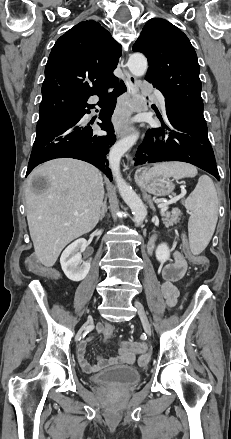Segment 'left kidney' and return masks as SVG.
<instances>
[{
  "mask_svg": "<svg viewBox=\"0 0 231 439\" xmlns=\"http://www.w3.org/2000/svg\"><path fill=\"white\" fill-rule=\"evenodd\" d=\"M155 255L160 263H165L170 258V249L166 243L158 245Z\"/></svg>",
  "mask_w": 231,
  "mask_h": 439,
  "instance_id": "left-kidney-1",
  "label": "left kidney"
}]
</instances>
